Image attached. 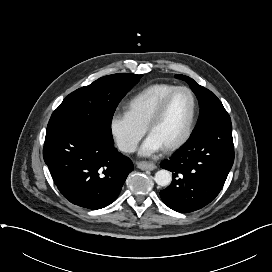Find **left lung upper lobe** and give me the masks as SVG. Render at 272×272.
Here are the masks:
<instances>
[{"label": "left lung upper lobe", "mask_w": 272, "mask_h": 272, "mask_svg": "<svg viewBox=\"0 0 272 272\" xmlns=\"http://www.w3.org/2000/svg\"><path fill=\"white\" fill-rule=\"evenodd\" d=\"M175 77L186 81L199 101L200 116L192 134L217 124L231 122L229 114L215 94L197 84L190 77L180 74Z\"/></svg>", "instance_id": "left-lung-upper-lobe-1"}]
</instances>
